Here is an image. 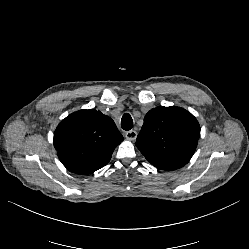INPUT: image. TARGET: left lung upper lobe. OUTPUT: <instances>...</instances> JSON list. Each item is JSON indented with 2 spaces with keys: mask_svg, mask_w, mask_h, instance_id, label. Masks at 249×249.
I'll return each instance as SVG.
<instances>
[{
  "mask_svg": "<svg viewBox=\"0 0 249 249\" xmlns=\"http://www.w3.org/2000/svg\"><path fill=\"white\" fill-rule=\"evenodd\" d=\"M199 137V123L190 112L181 107L160 106L145 116L135 144L148 162L169 171L188 163Z\"/></svg>",
  "mask_w": 249,
  "mask_h": 249,
  "instance_id": "1",
  "label": "left lung upper lobe"
}]
</instances>
